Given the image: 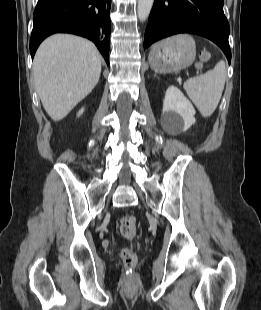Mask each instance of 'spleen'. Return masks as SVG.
<instances>
[{"instance_id": "1", "label": "spleen", "mask_w": 261, "mask_h": 310, "mask_svg": "<svg viewBox=\"0 0 261 310\" xmlns=\"http://www.w3.org/2000/svg\"><path fill=\"white\" fill-rule=\"evenodd\" d=\"M226 81L225 62L217 63L213 70L188 79L183 88L201 115L210 117L218 106Z\"/></svg>"}]
</instances>
